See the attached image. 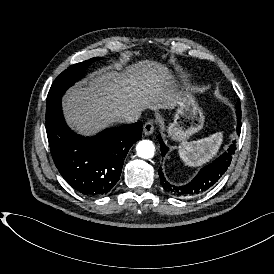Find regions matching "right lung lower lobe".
Masks as SVG:
<instances>
[{
	"label": "right lung lower lobe",
	"instance_id": "obj_1",
	"mask_svg": "<svg viewBox=\"0 0 274 274\" xmlns=\"http://www.w3.org/2000/svg\"><path fill=\"white\" fill-rule=\"evenodd\" d=\"M142 126V122L125 124L82 137L66 125L61 98L46 107V132L54 163L70 186L87 197L114 190L131 145L141 138Z\"/></svg>",
	"mask_w": 274,
	"mask_h": 274
}]
</instances>
